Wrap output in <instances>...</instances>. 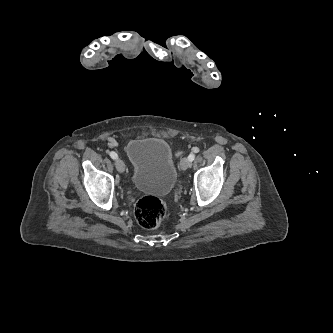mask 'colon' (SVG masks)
<instances>
[{
  "mask_svg": "<svg viewBox=\"0 0 333 333\" xmlns=\"http://www.w3.org/2000/svg\"><path fill=\"white\" fill-rule=\"evenodd\" d=\"M135 218L146 229L156 228L168 219L165 203L156 196H144L137 202Z\"/></svg>",
  "mask_w": 333,
  "mask_h": 333,
  "instance_id": "obj_1",
  "label": "colon"
}]
</instances>
